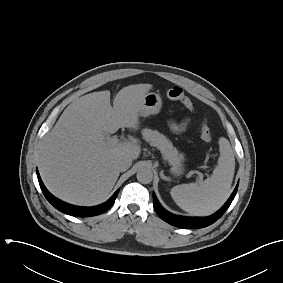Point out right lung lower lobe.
<instances>
[{"instance_id": "right-lung-lower-lobe-1", "label": "right lung lower lobe", "mask_w": 283, "mask_h": 283, "mask_svg": "<svg viewBox=\"0 0 283 283\" xmlns=\"http://www.w3.org/2000/svg\"><path fill=\"white\" fill-rule=\"evenodd\" d=\"M37 177L40 187L46 199L59 211L76 217H90V216L102 214L103 212L107 211L112 207L119 192V190H117L107 202L101 205L93 206V207H78L65 203L54 197L44 186L38 171H37Z\"/></svg>"}]
</instances>
